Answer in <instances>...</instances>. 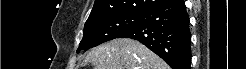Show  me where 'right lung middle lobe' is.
<instances>
[{
    "label": "right lung middle lobe",
    "mask_w": 246,
    "mask_h": 69,
    "mask_svg": "<svg viewBox=\"0 0 246 69\" xmlns=\"http://www.w3.org/2000/svg\"><path fill=\"white\" fill-rule=\"evenodd\" d=\"M141 20L142 14H119L86 21L77 53L118 38L125 31L137 26Z\"/></svg>",
    "instance_id": "right-lung-middle-lobe-1"
}]
</instances>
